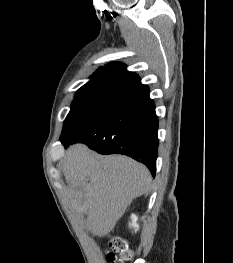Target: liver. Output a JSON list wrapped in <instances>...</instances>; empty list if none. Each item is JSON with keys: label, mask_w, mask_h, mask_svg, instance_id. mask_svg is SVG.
<instances>
[{"label": "liver", "mask_w": 233, "mask_h": 263, "mask_svg": "<svg viewBox=\"0 0 233 263\" xmlns=\"http://www.w3.org/2000/svg\"><path fill=\"white\" fill-rule=\"evenodd\" d=\"M63 174L71 207L87 213L86 226L98 237L107 235L132 200L148 193L151 184L144 165L127 156H100L83 144L67 149Z\"/></svg>", "instance_id": "liver-1"}]
</instances>
